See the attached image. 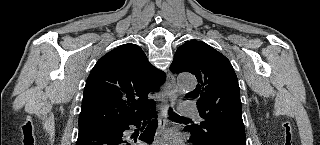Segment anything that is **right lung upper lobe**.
<instances>
[{"mask_svg":"<svg viewBox=\"0 0 320 145\" xmlns=\"http://www.w3.org/2000/svg\"><path fill=\"white\" fill-rule=\"evenodd\" d=\"M165 82L136 44L121 45L100 58L84 88L79 130L129 123L155 107L148 93Z\"/></svg>","mask_w":320,"mask_h":145,"instance_id":"1","label":"right lung upper lobe"}]
</instances>
